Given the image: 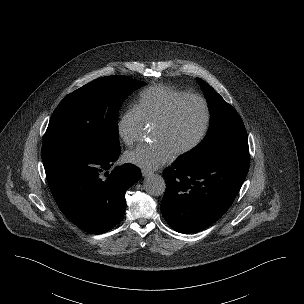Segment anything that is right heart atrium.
Wrapping results in <instances>:
<instances>
[{
	"label": "right heart atrium",
	"mask_w": 304,
	"mask_h": 304,
	"mask_svg": "<svg viewBox=\"0 0 304 304\" xmlns=\"http://www.w3.org/2000/svg\"><path fill=\"white\" fill-rule=\"evenodd\" d=\"M145 123L135 105L130 106L119 118L117 132L120 139L128 146L134 144Z\"/></svg>",
	"instance_id": "right-heart-atrium-1"
}]
</instances>
